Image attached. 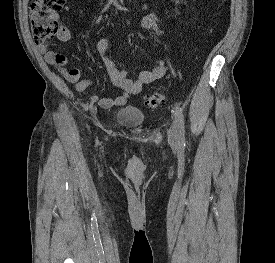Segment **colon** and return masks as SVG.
<instances>
[{
  "label": "colon",
  "mask_w": 275,
  "mask_h": 263,
  "mask_svg": "<svg viewBox=\"0 0 275 263\" xmlns=\"http://www.w3.org/2000/svg\"><path fill=\"white\" fill-rule=\"evenodd\" d=\"M66 0H33L30 9L31 33L36 44H45L54 38L61 27L56 14L61 11ZM148 108H159L165 104L161 94H147L142 98Z\"/></svg>",
  "instance_id": "1"
}]
</instances>
